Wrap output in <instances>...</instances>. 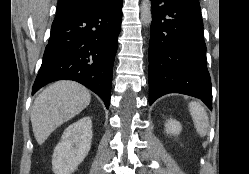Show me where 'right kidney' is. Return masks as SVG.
Instances as JSON below:
<instances>
[{"mask_svg": "<svg viewBox=\"0 0 249 174\" xmlns=\"http://www.w3.org/2000/svg\"><path fill=\"white\" fill-rule=\"evenodd\" d=\"M92 142V120L86 116L69 125L54 149L52 170L72 174L88 155Z\"/></svg>", "mask_w": 249, "mask_h": 174, "instance_id": "right-kidney-1", "label": "right kidney"}]
</instances>
